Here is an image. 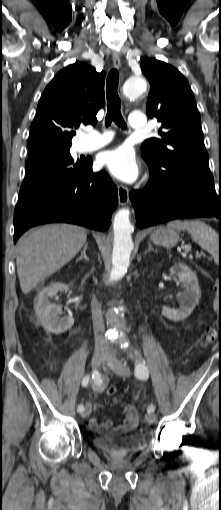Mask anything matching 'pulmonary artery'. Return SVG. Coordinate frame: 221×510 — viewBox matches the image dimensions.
<instances>
[{"mask_svg":"<svg viewBox=\"0 0 221 510\" xmlns=\"http://www.w3.org/2000/svg\"><path fill=\"white\" fill-rule=\"evenodd\" d=\"M129 125L134 129L143 130L145 127V116L141 112H132L129 117ZM112 139V134L108 131L97 132L93 131L88 134L85 143L84 150L92 151L99 149L109 143Z\"/></svg>","mask_w":221,"mask_h":510,"instance_id":"1","label":"pulmonary artery"}]
</instances>
